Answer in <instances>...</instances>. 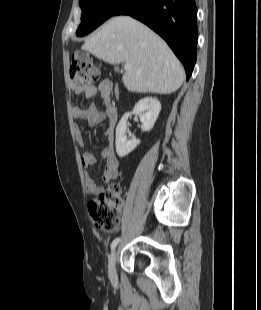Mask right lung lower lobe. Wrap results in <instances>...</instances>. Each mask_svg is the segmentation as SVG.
Listing matches in <instances>:
<instances>
[{"label": "right lung lower lobe", "instance_id": "obj_1", "mask_svg": "<svg viewBox=\"0 0 261 310\" xmlns=\"http://www.w3.org/2000/svg\"><path fill=\"white\" fill-rule=\"evenodd\" d=\"M114 15H130L158 33L182 62L186 79L190 78L198 37L195 0H128Z\"/></svg>", "mask_w": 261, "mask_h": 310}]
</instances>
